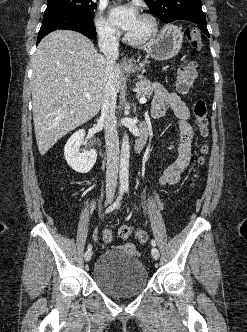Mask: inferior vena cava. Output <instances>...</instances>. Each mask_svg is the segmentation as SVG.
<instances>
[{"instance_id":"inferior-vena-cava-1","label":"inferior vena cava","mask_w":247,"mask_h":332,"mask_svg":"<svg viewBox=\"0 0 247 332\" xmlns=\"http://www.w3.org/2000/svg\"><path fill=\"white\" fill-rule=\"evenodd\" d=\"M98 44L106 58V76L108 78L103 91L100 119L104 122L107 153L106 198L112 200L116 191L119 168V138L115 117L117 91L113 81V67L119 56V44L114 33L109 29H104L99 33Z\"/></svg>"}]
</instances>
